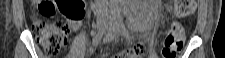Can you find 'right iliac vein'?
<instances>
[{"instance_id": "63e3f726", "label": "right iliac vein", "mask_w": 225, "mask_h": 58, "mask_svg": "<svg viewBox=\"0 0 225 58\" xmlns=\"http://www.w3.org/2000/svg\"><path fill=\"white\" fill-rule=\"evenodd\" d=\"M105 24H106L105 20H99L97 22V34H100V33L103 32V29L105 27Z\"/></svg>"}]
</instances>
